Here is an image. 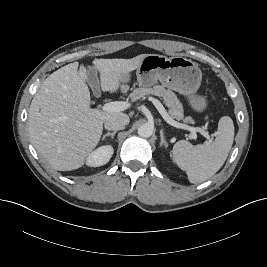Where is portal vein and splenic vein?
I'll return each instance as SVG.
<instances>
[{"label":"portal vein and splenic vein","instance_id":"obj_1","mask_svg":"<svg viewBox=\"0 0 267 267\" xmlns=\"http://www.w3.org/2000/svg\"><path fill=\"white\" fill-rule=\"evenodd\" d=\"M149 100L152 101V103L155 105V107L157 108V110L159 111V113L162 115V117L164 118V120L170 124L171 126H174L176 128H181V129H185L188 130L192 133V138L196 139V132H199L201 135H203L204 137L207 138L208 142H211L210 136L207 132H205L203 129L199 128V127H191V126H187L185 124L176 122L175 120H173L169 114L167 113V111L165 110V108L163 107L162 103L153 97H149ZM130 107V103L128 102H123V101H114V102H109L103 105L102 110L105 112H120V111H124L126 109H128Z\"/></svg>","mask_w":267,"mask_h":267}]
</instances>
